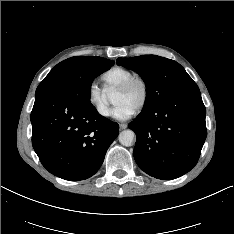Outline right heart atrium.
Listing matches in <instances>:
<instances>
[{"label":"right heart atrium","instance_id":"obj_1","mask_svg":"<svg viewBox=\"0 0 234 234\" xmlns=\"http://www.w3.org/2000/svg\"><path fill=\"white\" fill-rule=\"evenodd\" d=\"M87 99L98 115L104 118L110 115V108L105 99L104 93L96 83H91L88 86Z\"/></svg>","mask_w":234,"mask_h":234}]
</instances>
